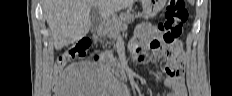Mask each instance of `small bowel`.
<instances>
[{"mask_svg":"<svg viewBox=\"0 0 232 96\" xmlns=\"http://www.w3.org/2000/svg\"><path fill=\"white\" fill-rule=\"evenodd\" d=\"M155 35L154 27L149 23L140 24L136 30L134 38L130 42L132 48L147 46L152 43ZM176 53L174 55L173 64L167 67L164 71L163 82L171 88L172 96H186V88L184 82V76L181 73V69L184 67V54L182 52V45L180 41L174 43ZM133 96H138L136 93Z\"/></svg>","mask_w":232,"mask_h":96,"instance_id":"obj_1","label":"small bowel"}]
</instances>
